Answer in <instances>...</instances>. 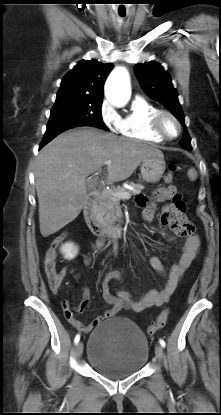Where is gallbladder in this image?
Returning a JSON list of instances; mask_svg holds the SVG:
<instances>
[{"label": "gallbladder", "mask_w": 221, "mask_h": 415, "mask_svg": "<svg viewBox=\"0 0 221 415\" xmlns=\"http://www.w3.org/2000/svg\"><path fill=\"white\" fill-rule=\"evenodd\" d=\"M94 184H95V181L94 180H92V181H86V185H87V188L88 189H91Z\"/></svg>", "instance_id": "1"}]
</instances>
